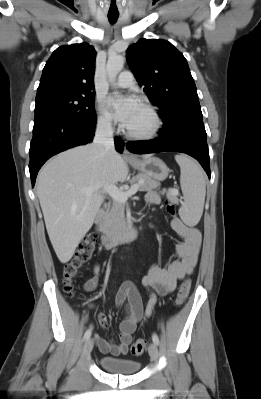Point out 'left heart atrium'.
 Returning <instances> with one entry per match:
<instances>
[{"instance_id":"39dd6f15","label":"left heart atrium","mask_w":261,"mask_h":399,"mask_svg":"<svg viewBox=\"0 0 261 399\" xmlns=\"http://www.w3.org/2000/svg\"><path fill=\"white\" fill-rule=\"evenodd\" d=\"M108 105L113 110L115 118L126 128L142 107L135 96H128L123 100L111 97L108 100Z\"/></svg>"}]
</instances>
